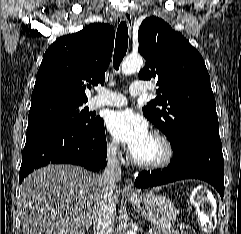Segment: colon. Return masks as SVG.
I'll use <instances>...</instances> for the list:
<instances>
[{
	"label": "colon",
	"instance_id": "obj_1",
	"mask_svg": "<svg viewBox=\"0 0 241 234\" xmlns=\"http://www.w3.org/2000/svg\"><path fill=\"white\" fill-rule=\"evenodd\" d=\"M192 203L197 208L199 216L203 220H207L214 211V205L209 197V192L204 188L196 191L192 198Z\"/></svg>",
	"mask_w": 241,
	"mask_h": 234
}]
</instances>
